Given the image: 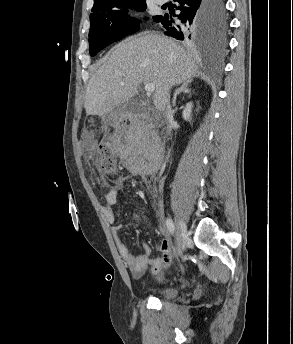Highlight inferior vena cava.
Returning <instances> with one entry per match:
<instances>
[{
	"label": "inferior vena cava",
	"instance_id": "1",
	"mask_svg": "<svg viewBox=\"0 0 293 344\" xmlns=\"http://www.w3.org/2000/svg\"><path fill=\"white\" fill-rule=\"evenodd\" d=\"M164 102H165V109H166V117H167V120L170 122L172 118V110H171L170 100H169V91L166 92L164 96ZM168 133H170V131H168Z\"/></svg>",
	"mask_w": 293,
	"mask_h": 344
}]
</instances>
